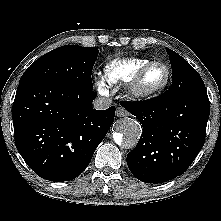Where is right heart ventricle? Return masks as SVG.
<instances>
[{
  "label": "right heart ventricle",
  "mask_w": 221,
  "mask_h": 221,
  "mask_svg": "<svg viewBox=\"0 0 221 221\" xmlns=\"http://www.w3.org/2000/svg\"><path fill=\"white\" fill-rule=\"evenodd\" d=\"M150 62L147 58L114 59L104 67V81L110 85L128 84Z\"/></svg>",
  "instance_id": "obj_1"
}]
</instances>
